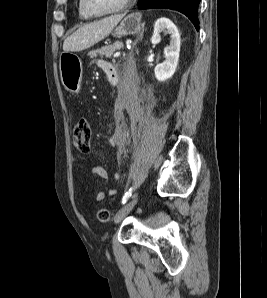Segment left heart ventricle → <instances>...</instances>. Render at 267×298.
Masks as SVG:
<instances>
[{"label":"left heart ventricle","instance_id":"obj_1","mask_svg":"<svg viewBox=\"0 0 267 298\" xmlns=\"http://www.w3.org/2000/svg\"><path fill=\"white\" fill-rule=\"evenodd\" d=\"M124 0H86L90 10L97 13L109 12L117 9Z\"/></svg>","mask_w":267,"mask_h":298}]
</instances>
